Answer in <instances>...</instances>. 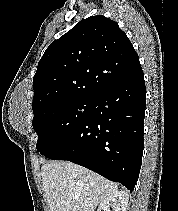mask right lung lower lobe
Listing matches in <instances>:
<instances>
[{
	"instance_id": "obj_1",
	"label": "right lung lower lobe",
	"mask_w": 178,
	"mask_h": 211,
	"mask_svg": "<svg viewBox=\"0 0 178 211\" xmlns=\"http://www.w3.org/2000/svg\"><path fill=\"white\" fill-rule=\"evenodd\" d=\"M145 101L140 69L97 96L83 124L45 156L84 166L132 192L142 162Z\"/></svg>"
}]
</instances>
